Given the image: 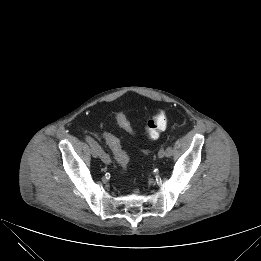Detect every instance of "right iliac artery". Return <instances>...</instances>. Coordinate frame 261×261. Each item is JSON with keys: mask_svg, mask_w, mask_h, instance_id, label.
<instances>
[{"mask_svg": "<svg viewBox=\"0 0 261 261\" xmlns=\"http://www.w3.org/2000/svg\"><path fill=\"white\" fill-rule=\"evenodd\" d=\"M85 140L91 147L95 148V150L98 152V155L100 156L101 160L104 163H106V164L111 163L110 156L103 151V149L99 146V144L93 138L86 135Z\"/></svg>", "mask_w": 261, "mask_h": 261, "instance_id": "82829eb1", "label": "right iliac artery"}]
</instances>
